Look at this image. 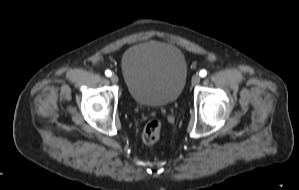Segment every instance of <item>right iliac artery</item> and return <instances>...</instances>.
Listing matches in <instances>:
<instances>
[{
  "label": "right iliac artery",
  "mask_w": 299,
  "mask_h": 190,
  "mask_svg": "<svg viewBox=\"0 0 299 190\" xmlns=\"http://www.w3.org/2000/svg\"><path fill=\"white\" fill-rule=\"evenodd\" d=\"M105 75H106L107 77H110V76L112 75V72H111L110 70H106V71H105Z\"/></svg>",
  "instance_id": "right-iliac-artery-1"
}]
</instances>
